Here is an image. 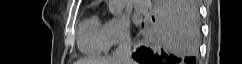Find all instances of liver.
Segmentation results:
<instances>
[{
  "label": "liver",
  "mask_w": 242,
  "mask_h": 64,
  "mask_svg": "<svg viewBox=\"0 0 242 64\" xmlns=\"http://www.w3.org/2000/svg\"><path fill=\"white\" fill-rule=\"evenodd\" d=\"M178 32L186 33L192 35L195 39L198 38L199 30L186 19L181 21L180 28H173ZM131 64H136L134 61H131ZM75 64H117L113 57H104L98 59H80L76 61Z\"/></svg>",
  "instance_id": "obj_1"
}]
</instances>
